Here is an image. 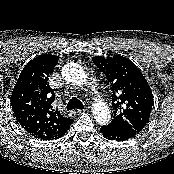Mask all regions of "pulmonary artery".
Returning <instances> with one entry per match:
<instances>
[{
	"label": "pulmonary artery",
	"mask_w": 174,
	"mask_h": 174,
	"mask_svg": "<svg viewBox=\"0 0 174 174\" xmlns=\"http://www.w3.org/2000/svg\"><path fill=\"white\" fill-rule=\"evenodd\" d=\"M89 85H91V87L93 88V90H96V89H95V88H96V83H95L94 80L91 81Z\"/></svg>",
	"instance_id": "1"
}]
</instances>
